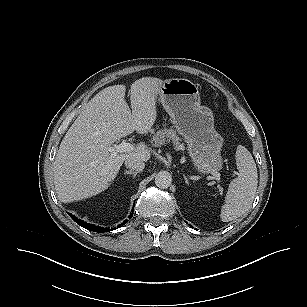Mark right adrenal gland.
<instances>
[{
    "label": "right adrenal gland",
    "instance_id": "right-adrenal-gland-1",
    "mask_svg": "<svg viewBox=\"0 0 307 307\" xmlns=\"http://www.w3.org/2000/svg\"><path fill=\"white\" fill-rule=\"evenodd\" d=\"M138 173V171L125 170V174L133 175V178H135Z\"/></svg>",
    "mask_w": 307,
    "mask_h": 307
}]
</instances>
